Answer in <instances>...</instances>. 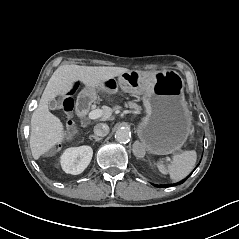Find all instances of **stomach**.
<instances>
[{
    "label": "stomach",
    "instance_id": "stomach-1",
    "mask_svg": "<svg viewBox=\"0 0 239 239\" xmlns=\"http://www.w3.org/2000/svg\"><path fill=\"white\" fill-rule=\"evenodd\" d=\"M118 85L128 93L143 94L146 116L136 127L140 150L151 155L178 152L192 130V116L184 98V81L179 74H149L132 70L106 82L105 93H114ZM91 100L96 92L85 88L78 99Z\"/></svg>",
    "mask_w": 239,
    "mask_h": 239
}]
</instances>
